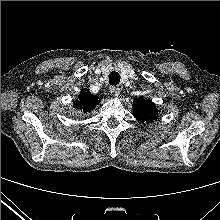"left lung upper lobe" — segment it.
<instances>
[{
    "label": "left lung upper lobe",
    "mask_w": 220,
    "mask_h": 220,
    "mask_svg": "<svg viewBox=\"0 0 220 220\" xmlns=\"http://www.w3.org/2000/svg\"><path fill=\"white\" fill-rule=\"evenodd\" d=\"M133 115L141 123H150L157 119V109L155 104L149 100L142 97L136 98L133 104Z\"/></svg>",
    "instance_id": "obj_1"
}]
</instances>
